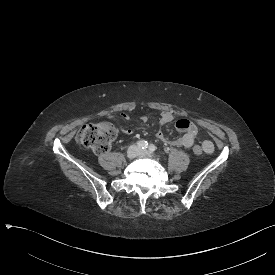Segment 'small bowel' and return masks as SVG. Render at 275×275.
Listing matches in <instances>:
<instances>
[{"label": "small bowel", "mask_w": 275, "mask_h": 275, "mask_svg": "<svg viewBox=\"0 0 275 275\" xmlns=\"http://www.w3.org/2000/svg\"><path fill=\"white\" fill-rule=\"evenodd\" d=\"M114 119H115L114 115H111V114L105 115L106 121H111ZM120 119L121 120L128 119L127 114L121 113ZM144 120H146V118H144ZM174 120H175V117L171 112H165L161 115L159 122L161 125H165V124L174 122ZM113 124L117 125L118 121L114 120ZM175 125L177 130L183 133L181 137H178L175 139H169L159 130L156 133L157 139L169 146L191 148L195 143V138L198 134V127L192 121L186 118H181L177 120ZM124 134L130 136L133 134V130L130 128L125 129ZM202 146H204L205 152L207 153H212L214 150V145L211 141H208V140L203 141Z\"/></svg>", "instance_id": "obj_1"}]
</instances>
